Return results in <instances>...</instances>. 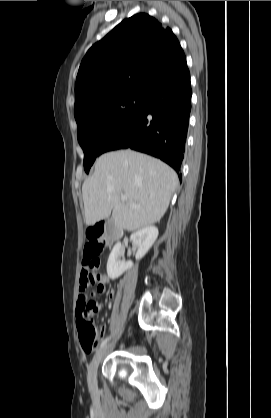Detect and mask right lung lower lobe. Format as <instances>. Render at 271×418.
I'll use <instances>...</instances> for the list:
<instances>
[{
	"label": "right lung lower lobe",
	"mask_w": 271,
	"mask_h": 418,
	"mask_svg": "<svg viewBox=\"0 0 271 418\" xmlns=\"http://www.w3.org/2000/svg\"><path fill=\"white\" fill-rule=\"evenodd\" d=\"M191 95L190 73L185 64L106 137L98 154L131 148L160 158L178 172L184 157Z\"/></svg>",
	"instance_id": "98d812e1"
}]
</instances>
